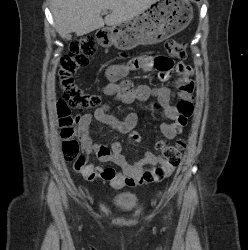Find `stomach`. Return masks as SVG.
I'll list each match as a JSON object with an SVG mask.
<instances>
[{
    "mask_svg": "<svg viewBox=\"0 0 248 250\" xmlns=\"http://www.w3.org/2000/svg\"><path fill=\"white\" fill-rule=\"evenodd\" d=\"M157 5L127 21L106 29L103 41L119 50L160 43L186 28L193 18L188 0H157Z\"/></svg>",
    "mask_w": 248,
    "mask_h": 250,
    "instance_id": "0dacf381",
    "label": "stomach"
}]
</instances>
